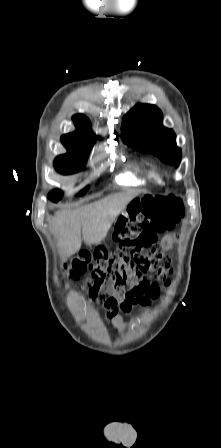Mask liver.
I'll use <instances>...</instances> for the list:
<instances>
[{"mask_svg": "<svg viewBox=\"0 0 221 448\" xmlns=\"http://www.w3.org/2000/svg\"><path fill=\"white\" fill-rule=\"evenodd\" d=\"M136 195L133 192L115 194L73 211H58L51 228L61 253L70 256L80 250L81 231L87 245H100L115 218Z\"/></svg>", "mask_w": 221, "mask_h": 448, "instance_id": "6515ba94", "label": "liver"}]
</instances>
